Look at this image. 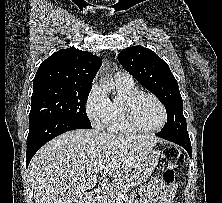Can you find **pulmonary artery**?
<instances>
[{"mask_svg": "<svg viewBox=\"0 0 222 203\" xmlns=\"http://www.w3.org/2000/svg\"><path fill=\"white\" fill-rule=\"evenodd\" d=\"M116 82L126 85L134 84L132 77L125 71H118L114 75Z\"/></svg>", "mask_w": 222, "mask_h": 203, "instance_id": "obj_1", "label": "pulmonary artery"}]
</instances>
